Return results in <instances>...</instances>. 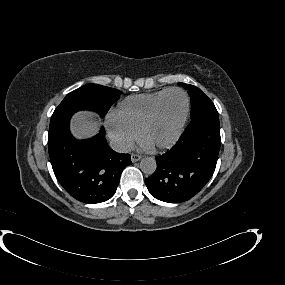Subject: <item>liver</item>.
<instances>
[{
  "mask_svg": "<svg viewBox=\"0 0 285 285\" xmlns=\"http://www.w3.org/2000/svg\"><path fill=\"white\" fill-rule=\"evenodd\" d=\"M98 123L88 111L78 112L73 116L71 130L77 138H88L97 131Z\"/></svg>",
  "mask_w": 285,
  "mask_h": 285,
  "instance_id": "1",
  "label": "liver"
}]
</instances>
